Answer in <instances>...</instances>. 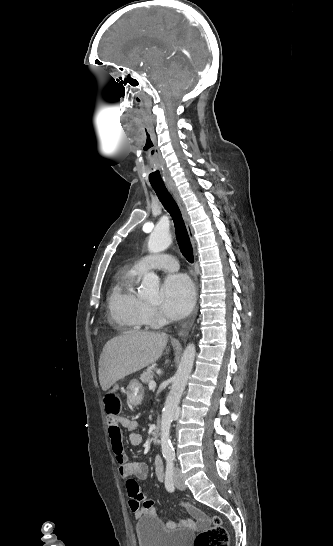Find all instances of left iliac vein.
Returning <instances> with one entry per match:
<instances>
[{
	"label": "left iliac vein",
	"mask_w": 333,
	"mask_h": 546,
	"mask_svg": "<svg viewBox=\"0 0 333 546\" xmlns=\"http://www.w3.org/2000/svg\"><path fill=\"white\" fill-rule=\"evenodd\" d=\"M174 483H175L176 488H178L179 490H184L185 489V484H184V481H183V479L181 477V472H180L179 468L175 469Z\"/></svg>",
	"instance_id": "left-iliac-vein-1"
}]
</instances>
